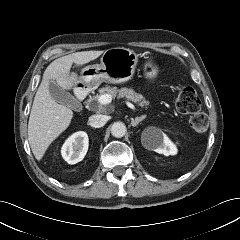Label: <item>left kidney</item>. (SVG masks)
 <instances>
[{"instance_id":"left-kidney-1","label":"left kidney","mask_w":240,"mask_h":240,"mask_svg":"<svg viewBox=\"0 0 240 240\" xmlns=\"http://www.w3.org/2000/svg\"><path fill=\"white\" fill-rule=\"evenodd\" d=\"M153 134L156 138L154 141L148 140V135ZM142 144L146 149L155 151L165 156L175 155L177 153L176 146L160 129L149 127L142 133Z\"/></svg>"}]
</instances>
